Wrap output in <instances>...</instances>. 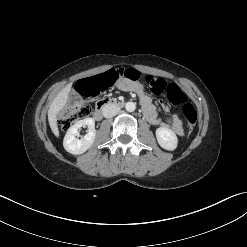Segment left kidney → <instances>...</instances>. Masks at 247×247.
<instances>
[{
    "instance_id": "left-kidney-1",
    "label": "left kidney",
    "mask_w": 247,
    "mask_h": 247,
    "mask_svg": "<svg viewBox=\"0 0 247 247\" xmlns=\"http://www.w3.org/2000/svg\"><path fill=\"white\" fill-rule=\"evenodd\" d=\"M156 138L159 145L166 150L173 151L177 148L178 138L176 134L169 128H157Z\"/></svg>"
}]
</instances>
